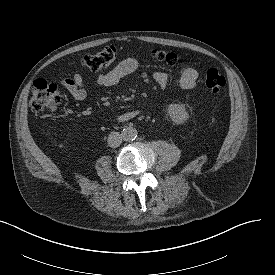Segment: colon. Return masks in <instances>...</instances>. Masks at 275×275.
<instances>
[{"label": "colon", "instance_id": "1", "mask_svg": "<svg viewBox=\"0 0 275 275\" xmlns=\"http://www.w3.org/2000/svg\"><path fill=\"white\" fill-rule=\"evenodd\" d=\"M151 55L170 66L180 67L184 65V59L176 53L152 49ZM120 51L117 46H107L102 50L85 55L82 64L91 71L98 72L111 66L119 57ZM226 84L225 77L217 69H209L205 76V85L212 93L220 92ZM61 101V93L57 86L45 79H36L32 86L30 107L34 113H43Z\"/></svg>", "mask_w": 275, "mask_h": 275}]
</instances>
